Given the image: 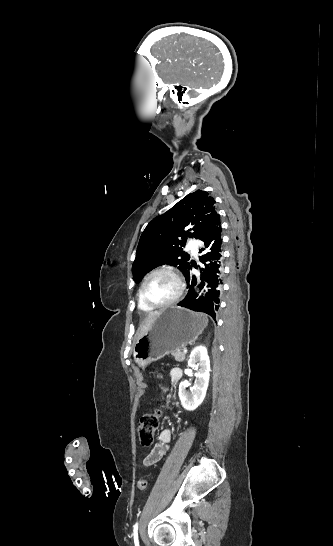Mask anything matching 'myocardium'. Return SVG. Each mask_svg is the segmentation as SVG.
Listing matches in <instances>:
<instances>
[{"mask_svg": "<svg viewBox=\"0 0 333 546\" xmlns=\"http://www.w3.org/2000/svg\"><path fill=\"white\" fill-rule=\"evenodd\" d=\"M162 272L169 273L175 278V280L177 281V284H178V291H177L176 295L172 299H170V300H168V301H166L164 303H154L146 295V291H145L146 285L154 275H156L158 273H162ZM184 291H185V282H184L181 274L179 273V271L175 267L170 266V265H164V266H161V267H158V268L154 269L152 272H150L146 276V278L144 279V281L142 282L141 287H140V294H141V297H142L143 301L148 306L153 307V308H163V307H167V306H170V305L176 303L181 298Z\"/></svg>", "mask_w": 333, "mask_h": 546, "instance_id": "1", "label": "myocardium"}]
</instances>
